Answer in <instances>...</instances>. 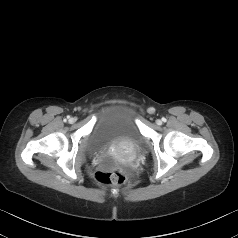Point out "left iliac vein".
<instances>
[{"mask_svg":"<svg viewBox=\"0 0 238 238\" xmlns=\"http://www.w3.org/2000/svg\"><path fill=\"white\" fill-rule=\"evenodd\" d=\"M156 124H157V125H161V124H162V121H161V120H157V121H156Z\"/></svg>","mask_w":238,"mask_h":238,"instance_id":"4c4485c4","label":"left iliac vein"}]
</instances>
